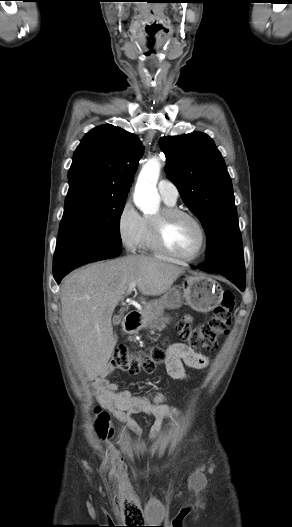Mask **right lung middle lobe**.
Returning a JSON list of instances; mask_svg holds the SVG:
<instances>
[{"instance_id": "1", "label": "right lung middle lobe", "mask_w": 292, "mask_h": 527, "mask_svg": "<svg viewBox=\"0 0 292 527\" xmlns=\"http://www.w3.org/2000/svg\"><path fill=\"white\" fill-rule=\"evenodd\" d=\"M126 197L86 186H70L58 239H101L121 247L119 222Z\"/></svg>"}]
</instances>
